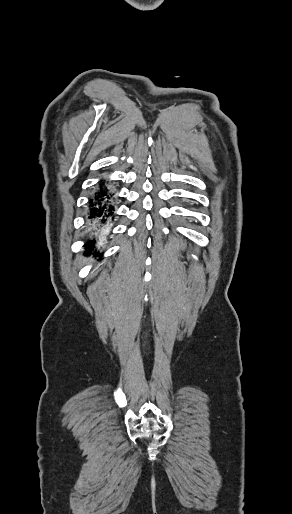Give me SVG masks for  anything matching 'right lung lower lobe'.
Returning a JSON list of instances; mask_svg holds the SVG:
<instances>
[{"label":"right lung lower lobe","instance_id":"right-lung-lower-lobe-1","mask_svg":"<svg viewBox=\"0 0 292 514\" xmlns=\"http://www.w3.org/2000/svg\"><path fill=\"white\" fill-rule=\"evenodd\" d=\"M114 200V193L108 186V182L100 181L88 201V220L91 228L99 229L102 225H106L110 218L113 219ZM95 242V240H90L85 246L89 250H93Z\"/></svg>","mask_w":292,"mask_h":514}]
</instances>
